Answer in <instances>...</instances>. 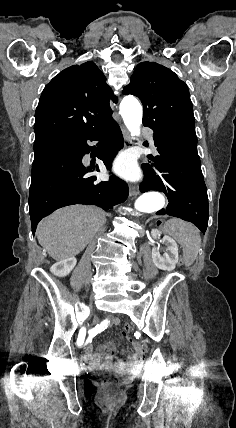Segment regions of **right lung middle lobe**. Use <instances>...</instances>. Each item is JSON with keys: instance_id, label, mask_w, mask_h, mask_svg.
I'll use <instances>...</instances> for the list:
<instances>
[{"instance_id": "right-lung-middle-lobe-1", "label": "right lung middle lobe", "mask_w": 236, "mask_h": 428, "mask_svg": "<svg viewBox=\"0 0 236 428\" xmlns=\"http://www.w3.org/2000/svg\"><path fill=\"white\" fill-rule=\"evenodd\" d=\"M52 141H48V142H43V143H38V144H34V154L39 155L45 151H48L50 149V147L52 146Z\"/></svg>"}]
</instances>
